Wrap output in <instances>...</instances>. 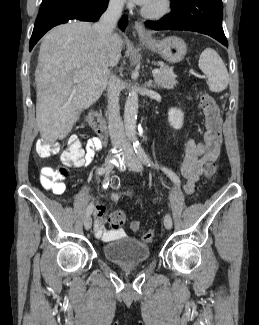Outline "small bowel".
<instances>
[{"label":"small bowel","mask_w":259,"mask_h":325,"mask_svg":"<svg viewBox=\"0 0 259 325\" xmlns=\"http://www.w3.org/2000/svg\"><path fill=\"white\" fill-rule=\"evenodd\" d=\"M103 146V142L98 137L89 138L84 148L82 147V156L74 161L71 165L75 168H81L92 162L96 151L100 150ZM219 154V148L215 151L208 150L201 142H196L193 139H189L185 146V155L180 168L181 176L185 179L184 191L186 194H192L195 184L199 181L201 175L205 173V169L208 165L214 163ZM49 168V167H44ZM42 169V170H43ZM130 192H132L130 190ZM111 199L117 202L119 199L118 194L112 193ZM95 222L94 231L95 235L104 240L109 241L116 238H123L126 236L125 232L120 230L107 229L105 227V207L103 205H97L95 208Z\"/></svg>","instance_id":"c3829d8e"}]
</instances>
